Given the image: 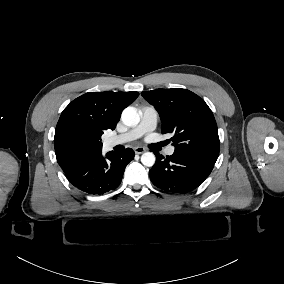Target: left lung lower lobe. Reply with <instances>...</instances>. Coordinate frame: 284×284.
<instances>
[{
  "label": "left lung lower lobe",
  "instance_id": "1",
  "mask_svg": "<svg viewBox=\"0 0 284 284\" xmlns=\"http://www.w3.org/2000/svg\"><path fill=\"white\" fill-rule=\"evenodd\" d=\"M157 161L149 170L151 182L169 193H188L197 188L211 173L214 163L203 158L174 152Z\"/></svg>",
  "mask_w": 284,
  "mask_h": 284
}]
</instances>
